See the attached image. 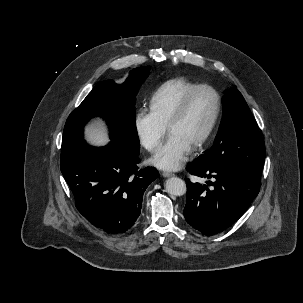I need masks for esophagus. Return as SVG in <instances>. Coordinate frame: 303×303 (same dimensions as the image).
Masks as SVG:
<instances>
[{
	"instance_id": "obj_1",
	"label": "esophagus",
	"mask_w": 303,
	"mask_h": 303,
	"mask_svg": "<svg viewBox=\"0 0 303 303\" xmlns=\"http://www.w3.org/2000/svg\"><path fill=\"white\" fill-rule=\"evenodd\" d=\"M162 175H163L164 177H171V176H174V173L168 172V171H164V172L162 173Z\"/></svg>"
}]
</instances>
